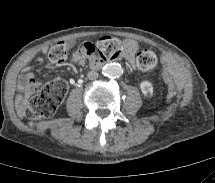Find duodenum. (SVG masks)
Wrapping results in <instances>:
<instances>
[{"mask_svg":"<svg viewBox=\"0 0 215 183\" xmlns=\"http://www.w3.org/2000/svg\"><path fill=\"white\" fill-rule=\"evenodd\" d=\"M105 64V62L102 61H93L91 63L92 68L97 69L100 68L101 66H103Z\"/></svg>","mask_w":215,"mask_h":183,"instance_id":"obj_1","label":"duodenum"}]
</instances>
